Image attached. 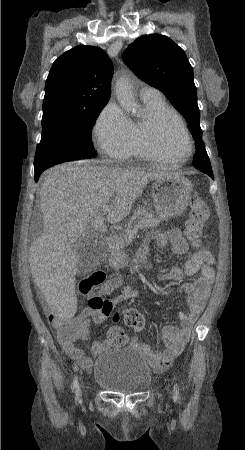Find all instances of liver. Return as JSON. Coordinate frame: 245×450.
<instances>
[{
  "mask_svg": "<svg viewBox=\"0 0 245 450\" xmlns=\"http://www.w3.org/2000/svg\"><path fill=\"white\" fill-rule=\"evenodd\" d=\"M166 175L180 174L161 168L73 163L46 171L39 192L44 231L29 249V265L49 307L60 318H72L77 308L78 255L72 248L76 240L88 234L89 226L98 233L106 232L103 206L111 207L109 222H120L130 214L145 186Z\"/></svg>",
  "mask_w": 245,
  "mask_h": 450,
  "instance_id": "obj_1",
  "label": "liver"
}]
</instances>
